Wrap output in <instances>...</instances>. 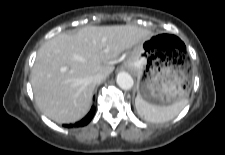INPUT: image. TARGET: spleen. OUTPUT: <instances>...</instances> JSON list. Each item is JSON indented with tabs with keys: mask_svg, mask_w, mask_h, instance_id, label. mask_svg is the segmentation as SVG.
<instances>
[{
	"mask_svg": "<svg viewBox=\"0 0 225 155\" xmlns=\"http://www.w3.org/2000/svg\"><path fill=\"white\" fill-rule=\"evenodd\" d=\"M188 99L183 98L168 106L152 105L137 96L135 107L141 118L153 123H163L175 118L187 105Z\"/></svg>",
	"mask_w": 225,
	"mask_h": 155,
	"instance_id": "obj_1",
	"label": "spleen"
}]
</instances>
